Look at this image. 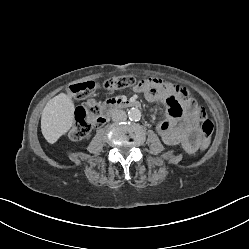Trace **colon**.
Masks as SVG:
<instances>
[{
    "label": "colon",
    "mask_w": 249,
    "mask_h": 249,
    "mask_svg": "<svg viewBox=\"0 0 249 249\" xmlns=\"http://www.w3.org/2000/svg\"><path fill=\"white\" fill-rule=\"evenodd\" d=\"M131 76H114L107 79L104 86L108 90L126 89L139 85ZM92 81L78 82L69 86V93L76 99L87 97L95 88ZM200 128L203 136L202 148H206L211 140L214 126L208 117L205 109L199 111ZM102 121L101 106L98 102L91 100L79 107L75 112V124L70 131V138L73 140L84 139L95 124Z\"/></svg>",
    "instance_id": "obj_1"
}]
</instances>
